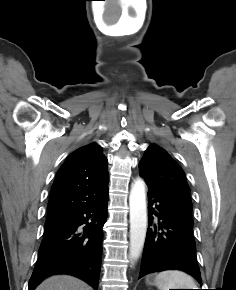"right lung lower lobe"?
<instances>
[{
    "instance_id": "right-lung-lower-lobe-1",
    "label": "right lung lower lobe",
    "mask_w": 236,
    "mask_h": 290,
    "mask_svg": "<svg viewBox=\"0 0 236 290\" xmlns=\"http://www.w3.org/2000/svg\"><path fill=\"white\" fill-rule=\"evenodd\" d=\"M107 202L108 192L98 203L45 227L28 290L53 274L74 275L97 290Z\"/></svg>"
}]
</instances>
